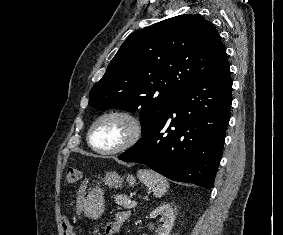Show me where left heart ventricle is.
<instances>
[{
  "label": "left heart ventricle",
  "mask_w": 283,
  "mask_h": 235,
  "mask_svg": "<svg viewBox=\"0 0 283 235\" xmlns=\"http://www.w3.org/2000/svg\"><path fill=\"white\" fill-rule=\"evenodd\" d=\"M129 125L121 118H109L96 128L92 142L102 149H111L120 145L128 136Z\"/></svg>",
  "instance_id": "left-heart-ventricle-1"
}]
</instances>
